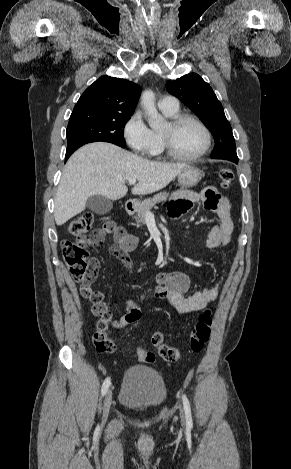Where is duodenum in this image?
<instances>
[{
	"label": "duodenum",
	"mask_w": 291,
	"mask_h": 469,
	"mask_svg": "<svg viewBox=\"0 0 291 469\" xmlns=\"http://www.w3.org/2000/svg\"><path fill=\"white\" fill-rule=\"evenodd\" d=\"M135 208H136V203L135 201L133 200H128L126 203H125V210L127 213L131 214L135 211Z\"/></svg>",
	"instance_id": "duodenum-1"
}]
</instances>
